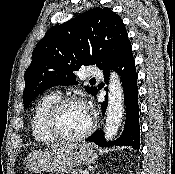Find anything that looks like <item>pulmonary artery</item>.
<instances>
[{
  "label": "pulmonary artery",
  "mask_w": 175,
  "mask_h": 174,
  "mask_svg": "<svg viewBox=\"0 0 175 174\" xmlns=\"http://www.w3.org/2000/svg\"><path fill=\"white\" fill-rule=\"evenodd\" d=\"M88 74L96 77L102 76V72L97 67H90L88 69Z\"/></svg>",
  "instance_id": "e3ab8cb5"
}]
</instances>
